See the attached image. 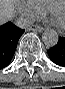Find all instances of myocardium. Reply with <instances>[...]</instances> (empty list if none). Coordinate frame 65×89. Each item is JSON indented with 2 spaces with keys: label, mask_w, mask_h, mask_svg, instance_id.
Returning a JSON list of instances; mask_svg holds the SVG:
<instances>
[{
  "label": "myocardium",
  "mask_w": 65,
  "mask_h": 89,
  "mask_svg": "<svg viewBox=\"0 0 65 89\" xmlns=\"http://www.w3.org/2000/svg\"><path fill=\"white\" fill-rule=\"evenodd\" d=\"M59 5H65L63 2L61 1H55L53 3H51L47 9V14H48V17H49V20L50 22L60 31H63L65 29V25L63 26H60V25H57L54 20H53V14H54V11L55 9L59 6Z\"/></svg>",
  "instance_id": "myocardium-1"
}]
</instances>
